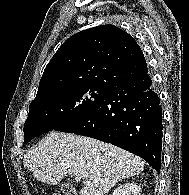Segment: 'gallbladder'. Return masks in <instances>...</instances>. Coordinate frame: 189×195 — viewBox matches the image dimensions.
Here are the masks:
<instances>
[{"label":"gallbladder","mask_w":189,"mask_h":195,"mask_svg":"<svg viewBox=\"0 0 189 195\" xmlns=\"http://www.w3.org/2000/svg\"><path fill=\"white\" fill-rule=\"evenodd\" d=\"M61 191L64 195H74V189L69 183H63L61 185Z\"/></svg>","instance_id":"gallbladder-1"}]
</instances>
